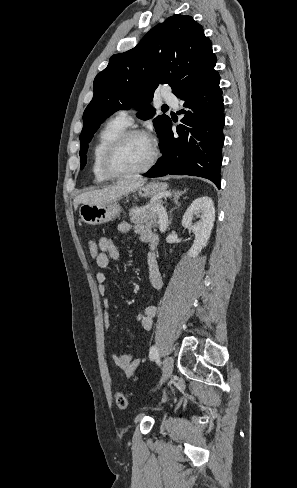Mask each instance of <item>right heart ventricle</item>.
<instances>
[{"mask_svg":"<svg viewBox=\"0 0 297 488\" xmlns=\"http://www.w3.org/2000/svg\"><path fill=\"white\" fill-rule=\"evenodd\" d=\"M127 128L128 124L118 117H114L105 124L97 135L92 149V174L96 182L103 183L110 180L102 167L103 155L108 145Z\"/></svg>","mask_w":297,"mask_h":488,"instance_id":"e07e8e85","label":"right heart ventricle"}]
</instances>
